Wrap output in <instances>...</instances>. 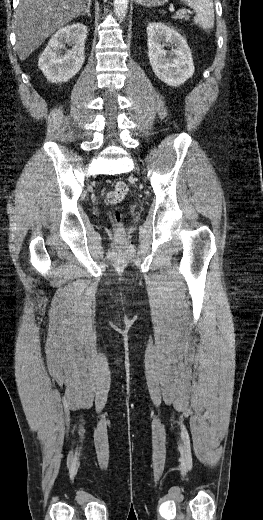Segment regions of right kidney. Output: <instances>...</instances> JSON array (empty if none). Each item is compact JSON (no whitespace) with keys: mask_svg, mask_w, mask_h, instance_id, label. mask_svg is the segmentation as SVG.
Masks as SVG:
<instances>
[{"mask_svg":"<svg viewBox=\"0 0 263 520\" xmlns=\"http://www.w3.org/2000/svg\"><path fill=\"white\" fill-rule=\"evenodd\" d=\"M86 37L87 27L83 23L65 26L51 37L38 61L48 81L67 82L79 72L85 60Z\"/></svg>","mask_w":263,"mask_h":520,"instance_id":"obj_1","label":"right kidney"}]
</instances>
